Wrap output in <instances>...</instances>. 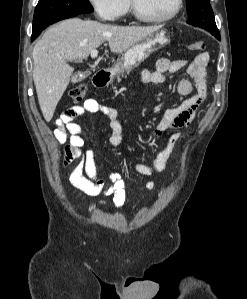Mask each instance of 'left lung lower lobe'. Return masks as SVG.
<instances>
[{
  "label": "left lung lower lobe",
  "instance_id": "obj_1",
  "mask_svg": "<svg viewBox=\"0 0 247 299\" xmlns=\"http://www.w3.org/2000/svg\"><path fill=\"white\" fill-rule=\"evenodd\" d=\"M212 35H214L218 40H220V33L211 32Z\"/></svg>",
  "mask_w": 247,
  "mask_h": 299
}]
</instances>
